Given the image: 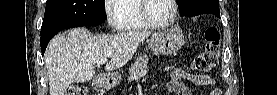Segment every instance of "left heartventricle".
<instances>
[{
	"mask_svg": "<svg viewBox=\"0 0 277 95\" xmlns=\"http://www.w3.org/2000/svg\"><path fill=\"white\" fill-rule=\"evenodd\" d=\"M148 15L156 21H167L173 13L170 0H149L147 6Z\"/></svg>",
	"mask_w": 277,
	"mask_h": 95,
	"instance_id": "1",
	"label": "left heart ventricle"
}]
</instances>
